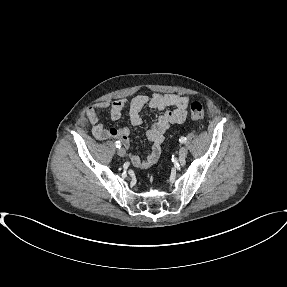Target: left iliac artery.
I'll return each mask as SVG.
<instances>
[{
    "mask_svg": "<svg viewBox=\"0 0 287 287\" xmlns=\"http://www.w3.org/2000/svg\"><path fill=\"white\" fill-rule=\"evenodd\" d=\"M179 141H180L181 143H185V142H186V138H185V137H181V138L179 139Z\"/></svg>",
    "mask_w": 287,
    "mask_h": 287,
    "instance_id": "44dca946",
    "label": "left iliac artery"
}]
</instances>
